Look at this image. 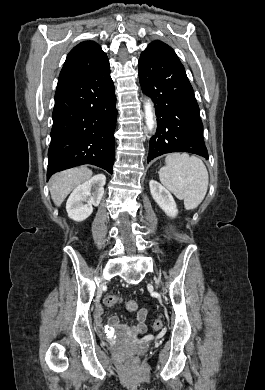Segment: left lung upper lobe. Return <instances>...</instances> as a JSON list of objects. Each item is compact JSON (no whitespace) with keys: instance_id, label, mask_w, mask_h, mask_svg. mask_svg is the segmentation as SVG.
Listing matches in <instances>:
<instances>
[{"instance_id":"1","label":"left lung upper lobe","mask_w":265,"mask_h":390,"mask_svg":"<svg viewBox=\"0 0 265 390\" xmlns=\"http://www.w3.org/2000/svg\"><path fill=\"white\" fill-rule=\"evenodd\" d=\"M142 54L180 62L174 50L161 41H154L150 43Z\"/></svg>"}]
</instances>
